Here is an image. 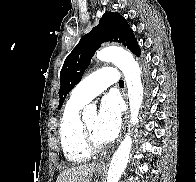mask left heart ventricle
<instances>
[{
    "mask_svg": "<svg viewBox=\"0 0 196 182\" xmlns=\"http://www.w3.org/2000/svg\"><path fill=\"white\" fill-rule=\"evenodd\" d=\"M97 114H91L85 117L86 126L91 133L93 139L97 142H102V140L98 137L96 133V123H97Z\"/></svg>",
    "mask_w": 196,
    "mask_h": 182,
    "instance_id": "obj_1",
    "label": "left heart ventricle"
}]
</instances>
